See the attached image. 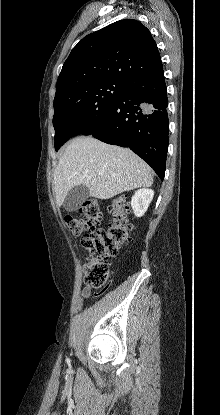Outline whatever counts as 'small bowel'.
I'll return each mask as SVG.
<instances>
[{
    "label": "small bowel",
    "instance_id": "obj_1",
    "mask_svg": "<svg viewBox=\"0 0 220 415\" xmlns=\"http://www.w3.org/2000/svg\"><path fill=\"white\" fill-rule=\"evenodd\" d=\"M90 295V290L88 289V288H84L83 290H82V296L84 297V298H86V297H88Z\"/></svg>",
    "mask_w": 220,
    "mask_h": 415
}]
</instances>
